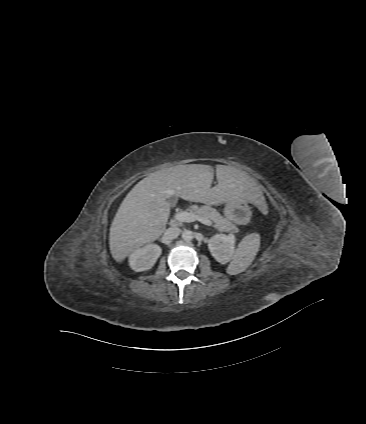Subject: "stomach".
<instances>
[{
    "mask_svg": "<svg viewBox=\"0 0 366 424\" xmlns=\"http://www.w3.org/2000/svg\"><path fill=\"white\" fill-rule=\"evenodd\" d=\"M247 213L250 215V207L248 201H228L225 203L224 214L230 221L240 223L242 221L241 214Z\"/></svg>",
    "mask_w": 366,
    "mask_h": 424,
    "instance_id": "stomach-1",
    "label": "stomach"
}]
</instances>
